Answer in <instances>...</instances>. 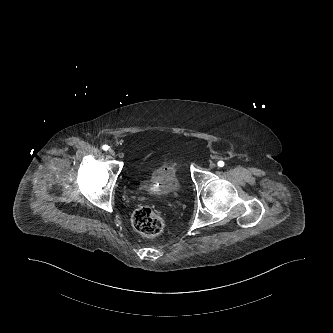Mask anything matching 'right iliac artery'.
I'll return each mask as SVG.
<instances>
[{"mask_svg": "<svg viewBox=\"0 0 333 333\" xmlns=\"http://www.w3.org/2000/svg\"><path fill=\"white\" fill-rule=\"evenodd\" d=\"M102 149H103L104 151H107V150L109 149V146H108V145H103V146H102Z\"/></svg>", "mask_w": 333, "mask_h": 333, "instance_id": "obj_1", "label": "right iliac artery"}]
</instances>
